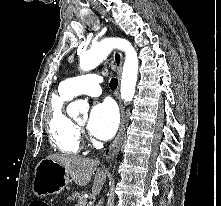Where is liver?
I'll list each match as a JSON object with an SVG mask.
<instances>
[{
	"label": "liver",
	"mask_w": 221,
	"mask_h": 206,
	"mask_svg": "<svg viewBox=\"0 0 221 206\" xmlns=\"http://www.w3.org/2000/svg\"><path fill=\"white\" fill-rule=\"evenodd\" d=\"M47 158L63 165L68 175L80 186L87 185L92 175L95 174L92 193L98 195L101 192L107 172L98 167L97 160L64 154H52Z\"/></svg>",
	"instance_id": "liver-1"
}]
</instances>
